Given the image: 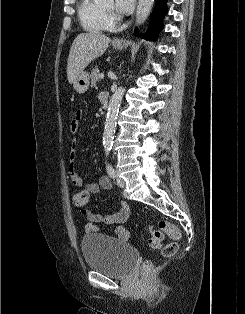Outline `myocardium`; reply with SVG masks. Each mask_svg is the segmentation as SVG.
<instances>
[{"mask_svg":"<svg viewBox=\"0 0 245 314\" xmlns=\"http://www.w3.org/2000/svg\"><path fill=\"white\" fill-rule=\"evenodd\" d=\"M102 10L110 23L117 22L119 20V16L114 12V10L107 9L102 6Z\"/></svg>","mask_w":245,"mask_h":314,"instance_id":"obj_1","label":"myocardium"}]
</instances>
